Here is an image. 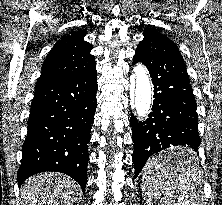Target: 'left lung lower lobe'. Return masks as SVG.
I'll return each mask as SVG.
<instances>
[{
    "label": "left lung lower lobe",
    "mask_w": 222,
    "mask_h": 205,
    "mask_svg": "<svg viewBox=\"0 0 222 205\" xmlns=\"http://www.w3.org/2000/svg\"><path fill=\"white\" fill-rule=\"evenodd\" d=\"M133 62H142L154 85V101L149 118L139 123L131 116L134 143L135 177L148 158L170 146H188L189 152L175 156L190 159L201 143L198 135L197 105L186 65L173 41L160 33L144 35L136 48ZM193 150V151H192Z\"/></svg>",
    "instance_id": "1"
}]
</instances>
